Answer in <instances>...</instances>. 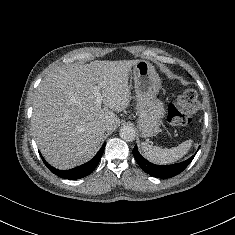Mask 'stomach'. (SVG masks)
<instances>
[{"instance_id":"1","label":"stomach","mask_w":235,"mask_h":235,"mask_svg":"<svg viewBox=\"0 0 235 235\" xmlns=\"http://www.w3.org/2000/svg\"><path fill=\"white\" fill-rule=\"evenodd\" d=\"M133 75L139 129L144 138L155 136L160 131V121L165 113L163 103L157 99L160 79L154 66L145 60H139L133 66Z\"/></svg>"}]
</instances>
